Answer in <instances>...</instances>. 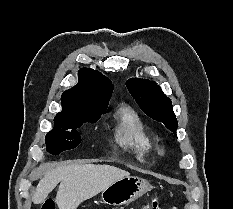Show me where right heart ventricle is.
<instances>
[{
  "label": "right heart ventricle",
  "mask_w": 233,
  "mask_h": 209,
  "mask_svg": "<svg viewBox=\"0 0 233 209\" xmlns=\"http://www.w3.org/2000/svg\"><path fill=\"white\" fill-rule=\"evenodd\" d=\"M114 133L117 144L139 162H146L155 151L151 136L138 114L129 106H121L116 112Z\"/></svg>",
  "instance_id": "1"
}]
</instances>
